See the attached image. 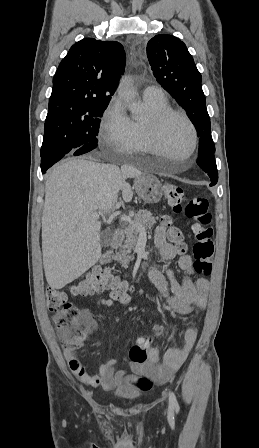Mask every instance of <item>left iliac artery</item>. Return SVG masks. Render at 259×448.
Instances as JSON below:
<instances>
[{
	"label": "left iliac artery",
	"mask_w": 259,
	"mask_h": 448,
	"mask_svg": "<svg viewBox=\"0 0 259 448\" xmlns=\"http://www.w3.org/2000/svg\"><path fill=\"white\" fill-rule=\"evenodd\" d=\"M169 407L175 409L176 413L179 411V405L176 396L173 392H169Z\"/></svg>",
	"instance_id": "obj_1"
}]
</instances>
